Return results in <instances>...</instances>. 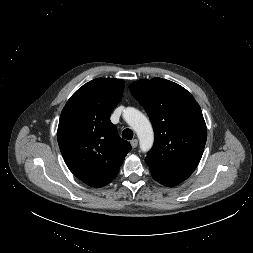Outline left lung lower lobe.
<instances>
[{"label":"left lung lower lobe","instance_id":"left-lung-lower-lobe-1","mask_svg":"<svg viewBox=\"0 0 253 253\" xmlns=\"http://www.w3.org/2000/svg\"><path fill=\"white\" fill-rule=\"evenodd\" d=\"M148 166L150 168L152 177L157 182L161 183L162 185L173 187L183 182L186 179V178L162 171L154 166H151V165H148Z\"/></svg>","mask_w":253,"mask_h":253}]
</instances>
